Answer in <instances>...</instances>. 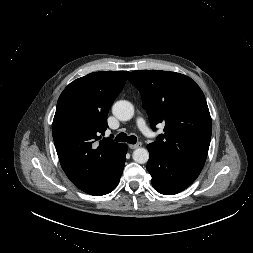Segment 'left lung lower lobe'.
<instances>
[{
	"instance_id": "left-lung-lower-lobe-1",
	"label": "left lung lower lobe",
	"mask_w": 253,
	"mask_h": 253,
	"mask_svg": "<svg viewBox=\"0 0 253 253\" xmlns=\"http://www.w3.org/2000/svg\"><path fill=\"white\" fill-rule=\"evenodd\" d=\"M150 158L147 170L152 176L153 187L161 194L174 195L189 187L201 170L170 159L153 144L147 146Z\"/></svg>"
}]
</instances>
